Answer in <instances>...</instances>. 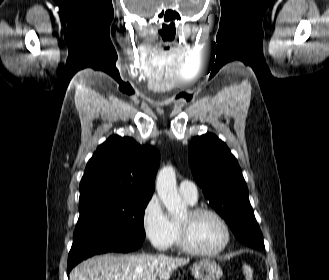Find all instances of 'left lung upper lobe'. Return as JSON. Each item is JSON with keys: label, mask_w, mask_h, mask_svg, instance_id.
<instances>
[{"label": "left lung upper lobe", "mask_w": 329, "mask_h": 280, "mask_svg": "<svg viewBox=\"0 0 329 280\" xmlns=\"http://www.w3.org/2000/svg\"><path fill=\"white\" fill-rule=\"evenodd\" d=\"M193 176L215 211L242 243L264 249L263 236L248 199V189L236 158L216 135L194 137L189 144Z\"/></svg>", "instance_id": "5c2ea615"}]
</instances>
